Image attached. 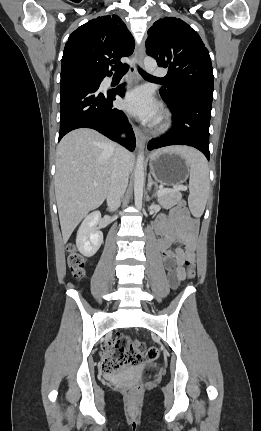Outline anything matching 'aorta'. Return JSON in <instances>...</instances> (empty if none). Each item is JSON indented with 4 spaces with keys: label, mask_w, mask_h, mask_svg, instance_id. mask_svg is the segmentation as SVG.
Returning a JSON list of instances; mask_svg holds the SVG:
<instances>
[{
    "label": "aorta",
    "mask_w": 261,
    "mask_h": 431,
    "mask_svg": "<svg viewBox=\"0 0 261 431\" xmlns=\"http://www.w3.org/2000/svg\"><path fill=\"white\" fill-rule=\"evenodd\" d=\"M144 67L148 73H152L156 69L157 63L155 59L151 57H146L144 60ZM144 179V153L141 151L138 154L136 168L134 172L135 206L139 209L142 207Z\"/></svg>",
    "instance_id": "762f6f07"
}]
</instances>
